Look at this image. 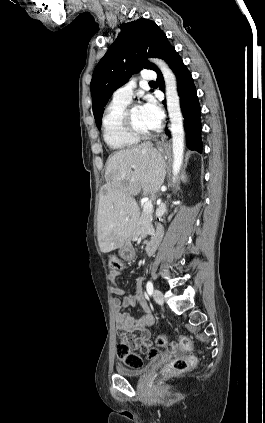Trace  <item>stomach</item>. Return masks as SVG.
I'll return each mask as SVG.
<instances>
[{
    "label": "stomach",
    "mask_w": 265,
    "mask_h": 423,
    "mask_svg": "<svg viewBox=\"0 0 265 423\" xmlns=\"http://www.w3.org/2000/svg\"><path fill=\"white\" fill-rule=\"evenodd\" d=\"M160 151L164 152V149H161ZM119 255L121 258L127 261L133 260L135 258V250L130 239H127L119 248Z\"/></svg>",
    "instance_id": "0dacf381"
}]
</instances>
